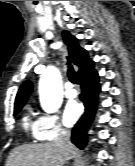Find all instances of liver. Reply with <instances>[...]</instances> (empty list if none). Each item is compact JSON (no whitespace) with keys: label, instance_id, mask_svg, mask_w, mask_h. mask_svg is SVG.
<instances>
[{"label":"liver","instance_id":"6515ba94","mask_svg":"<svg viewBox=\"0 0 135 166\" xmlns=\"http://www.w3.org/2000/svg\"><path fill=\"white\" fill-rule=\"evenodd\" d=\"M75 146L69 144L66 151L58 140L43 144H26L10 153L5 166H63L72 156Z\"/></svg>","mask_w":135,"mask_h":166}]
</instances>
